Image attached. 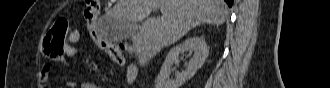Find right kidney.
Masks as SVG:
<instances>
[{
	"instance_id": "right-kidney-1",
	"label": "right kidney",
	"mask_w": 330,
	"mask_h": 88,
	"mask_svg": "<svg viewBox=\"0 0 330 88\" xmlns=\"http://www.w3.org/2000/svg\"><path fill=\"white\" fill-rule=\"evenodd\" d=\"M183 52L193 53L189 64L185 71L178 73L174 80L168 79L171 74V66L173 63L179 65V55ZM209 49L204 39L200 37H190L179 45L173 47L162 67L156 80L155 88H180L188 79H190L198 69H200L206 58L208 57Z\"/></svg>"
}]
</instances>
